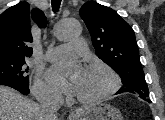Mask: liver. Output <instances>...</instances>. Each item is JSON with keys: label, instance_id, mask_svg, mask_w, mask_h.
Listing matches in <instances>:
<instances>
[{"label": "liver", "instance_id": "6515ba94", "mask_svg": "<svg viewBox=\"0 0 165 120\" xmlns=\"http://www.w3.org/2000/svg\"><path fill=\"white\" fill-rule=\"evenodd\" d=\"M0 120H41L40 106L16 90L0 86Z\"/></svg>", "mask_w": 165, "mask_h": 120}]
</instances>
